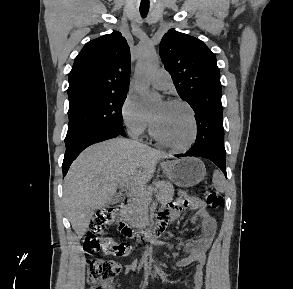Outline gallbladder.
Returning a JSON list of instances; mask_svg holds the SVG:
<instances>
[{"mask_svg": "<svg viewBox=\"0 0 293 289\" xmlns=\"http://www.w3.org/2000/svg\"><path fill=\"white\" fill-rule=\"evenodd\" d=\"M122 199V197L120 195H115L114 197H112L107 204H114L119 202Z\"/></svg>", "mask_w": 293, "mask_h": 289, "instance_id": "bac80fb5", "label": "gallbladder"}]
</instances>
